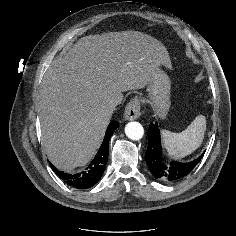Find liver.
<instances>
[{"instance_id":"liver-1","label":"liver","mask_w":236,"mask_h":236,"mask_svg":"<svg viewBox=\"0 0 236 236\" xmlns=\"http://www.w3.org/2000/svg\"><path fill=\"white\" fill-rule=\"evenodd\" d=\"M162 65L165 46L137 31L81 38L53 61L39 92L42 141L49 160L70 172L98 149L122 92L142 89Z\"/></svg>"}]
</instances>
